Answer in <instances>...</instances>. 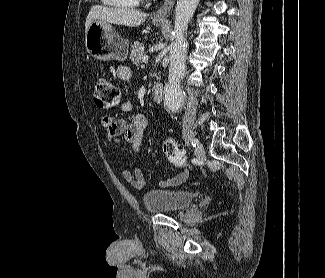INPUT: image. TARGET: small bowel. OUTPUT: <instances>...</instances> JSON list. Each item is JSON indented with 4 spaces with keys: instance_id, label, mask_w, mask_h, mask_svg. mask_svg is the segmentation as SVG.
I'll list each match as a JSON object with an SVG mask.
<instances>
[{
    "instance_id": "small-bowel-1",
    "label": "small bowel",
    "mask_w": 325,
    "mask_h": 278,
    "mask_svg": "<svg viewBox=\"0 0 325 278\" xmlns=\"http://www.w3.org/2000/svg\"><path fill=\"white\" fill-rule=\"evenodd\" d=\"M117 76L122 80H129L131 78V71L126 66H119L117 68ZM133 108L134 106L131 100H125L120 104V111L123 113H129ZM101 123L109 142L118 145L121 141V137H123L124 140L132 146L133 150L139 153L141 138L148 124L147 117L144 113H136L131 121H126L124 119L116 120L112 116L105 115L102 117ZM122 177L136 188H143L148 181L140 169H135L134 171L123 170ZM187 177L188 173L183 172L174 178L162 180L160 186L167 187L180 183L186 180Z\"/></svg>"
}]
</instances>
